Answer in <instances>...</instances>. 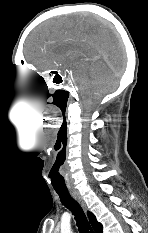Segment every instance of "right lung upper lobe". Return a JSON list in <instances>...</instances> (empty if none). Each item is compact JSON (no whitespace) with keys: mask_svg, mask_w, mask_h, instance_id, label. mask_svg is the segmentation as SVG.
<instances>
[{"mask_svg":"<svg viewBox=\"0 0 148 233\" xmlns=\"http://www.w3.org/2000/svg\"><path fill=\"white\" fill-rule=\"evenodd\" d=\"M87 214H88V218H89V220H90V223H91V225H92V227H93V229H94V232H95V233H103L102 224L99 223V222L96 220V217L94 216V214L91 213V212H89V211L87 212Z\"/></svg>","mask_w":148,"mask_h":233,"instance_id":"1","label":"right lung upper lobe"}]
</instances>
